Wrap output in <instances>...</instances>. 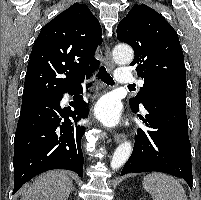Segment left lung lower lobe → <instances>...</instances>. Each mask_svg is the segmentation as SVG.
Instances as JSON below:
<instances>
[{"label":"left lung lower lobe","instance_id":"left-lung-lower-lobe-1","mask_svg":"<svg viewBox=\"0 0 201 200\" xmlns=\"http://www.w3.org/2000/svg\"><path fill=\"white\" fill-rule=\"evenodd\" d=\"M147 132L139 129L133 153L121 172L158 171L183 178L192 189L191 144L188 137L186 93L159 92L143 102ZM135 113L136 109H132Z\"/></svg>","mask_w":201,"mask_h":200}]
</instances>
